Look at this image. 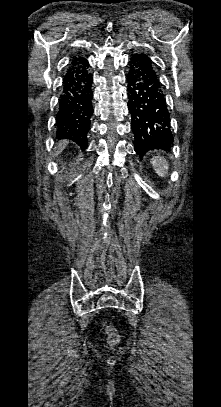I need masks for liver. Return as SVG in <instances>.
Wrapping results in <instances>:
<instances>
[{
    "label": "liver",
    "mask_w": 221,
    "mask_h": 407,
    "mask_svg": "<svg viewBox=\"0 0 221 407\" xmlns=\"http://www.w3.org/2000/svg\"><path fill=\"white\" fill-rule=\"evenodd\" d=\"M67 141L66 140H62L58 143L57 146V151L55 153V155H58L65 147H66Z\"/></svg>",
    "instance_id": "1"
}]
</instances>
